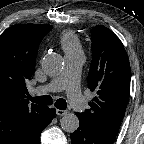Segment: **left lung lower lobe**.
<instances>
[{"label": "left lung lower lobe", "mask_w": 144, "mask_h": 144, "mask_svg": "<svg viewBox=\"0 0 144 144\" xmlns=\"http://www.w3.org/2000/svg\"><path fill=\"white\" fill-rule=\"evenodd\" d=\"M79 128L71 134L72 144H113L115 135L99 132L81 119Z\"/></svg>", "instance_id": "left-lung-lower-lobe-1"}]
</instances>
